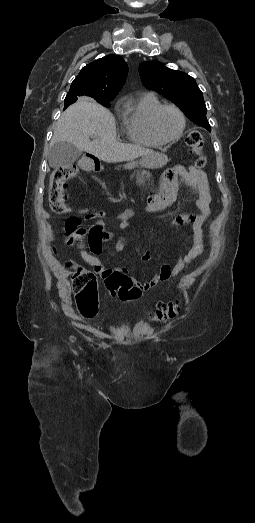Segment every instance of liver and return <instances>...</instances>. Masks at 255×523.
I'll list each match as a JSON object with an SVG mask.
<instances>
[{"instance_id": "liver-1", "label": "liver", "mask_w": 255, "mask_h": 523, "mask_svg": "<svg viewBox=\"0 0 255 523\" xmlns=\"http://www.w3.org/2000/svg\"><path fill=\"white\" fill-rule=\"evenodd\" d=\"M89 138H94L93 142ZM56 142H71L82 152L93 154L99 160L130 162L144 156L155 168H162L168 162L165 154H157L149 148L134 144H120L116 140L115 120L106 108H102L90 98H80L69 106L57 122L50 146Z\"/></svg>"}]
</instances>
